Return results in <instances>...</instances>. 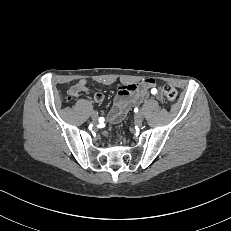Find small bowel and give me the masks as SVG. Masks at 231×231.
Returning a JSON list of instances; mask_svg holds the SVG:
<instances>
[{
	"instance_id": "small-bowel-1",
	"label": "small bowel",
	"mask_w": 231,
	"mask_h": 231,
	"mask_svg": "<svg viewBox=\"0 0 231 231\" xmlns=\"http://www.w3.org/2000/svg\"><path fill=\"white\" fill-rule=\"evenodd\" d=\"M154 80L145 79L139 83H130L119 90L115 97L113 106L109 112V119L117 121L123 118L128 112L131 106L139 104L147 93L154 88ZM74 93H84L86 95L91 93V90L87 86L85 79L78 80L70 89ZM159 100H162V95L157 91ZM95 102L101 103L104 101V95L101 92H95L93 95Z\"/></svg>"
}]
</instances>
